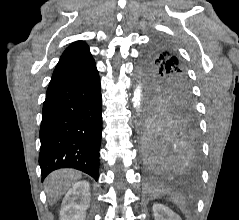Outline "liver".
<instances>
[{
  "mask_svg": "<svg viewBox=\"0 0 239 220\" xmlns=\"http://www.w3.org/2000/svg\"><path fill=\"white\" fill-rule=\"evenodd\" d=\"M80 177L81 174L72 169H61L51 173L45 180L49 203H56Z\"/></svg>",
  "mask_w": 239,
  "mask_h": 220,
  "instance_id": "1",
  "label": "liver"
}]
</instances>
